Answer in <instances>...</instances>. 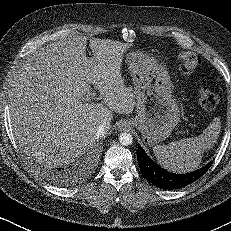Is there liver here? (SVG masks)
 <instances>
[{"label":"liver","mask_w":231,"mask_h":231,"mask_svg":"<svg viewBox=\"0 0 231 231\" xmlns=\"http://www.w3.org/2000/svg\"><path fill=\"white\" fill-rule=\"evenodd\" d=\"M87 40L74 36L41 47L13 77L12 129L30 161L68 165L92 148L99 125L110 123L113 111L130 114L134 109L135 95L121 76L124 53L133 44L90 38L94 56L88 59ZM91 84L103 103L83 100Z\"/></svg>","instance_id":"6515ba94"}]
</instances>
